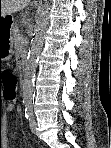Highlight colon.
<instances>
[{
    "label": "colon",
    "mask_w": 111,
    "mask_h": 148,
    "mask_svg": "<svg viewBox=\"0 0 111 148\" xmlns=\"http://www.w3.org/2000/svg\"><path fill=\"white\" fill-rule=\"evenodd\" d=\"M0 86L3 87V97L5 100H16L18 81L15 74L7 70L0 71Z\"/></svg>",
    "instance_id": "colon-1"
}]
</instances>
